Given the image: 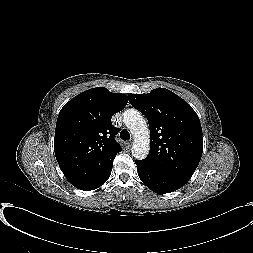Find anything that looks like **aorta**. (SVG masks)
Wrapping results in <instances>:
<instances>
[{
  "label": "aorta",
  "mask_w": 253,
  "mask_h": 253,
  "mask_svg": "<svg viewBox=\"0 0 253 253\" xmlns=\"http://www.w3.org/2000/svg\"><path fill=\"white\" fill-rule=\"evenodd\" d=\"M126 127L134 136L132 156L142 160L146 158L150 150L149 129L142 114L136 109H128L123 114Z\"/></svg>",
  "instance_id": "1"
}]
</instances>
